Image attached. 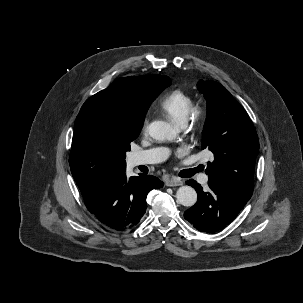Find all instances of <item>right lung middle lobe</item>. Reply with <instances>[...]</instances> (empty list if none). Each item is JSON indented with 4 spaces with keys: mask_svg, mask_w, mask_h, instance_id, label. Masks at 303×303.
<instances>
[{
    "mask_svg": "<svg viewBox=\"0 0 303 303\" xmlns=\"http://www.w3.org/2000/svg\"><path fill=\"white\" fill-rule=\"evenodd\" d=\"M163 90L164 88L158 94ZM94 120V140L125 161V153L130 151V143L138 137L140 131H131L114 115L97 113L94 115ZM71 173L78 188H81L90 178L88 172L78 168H71Z\"/></svg>",
    "mask_w": 303,
    "mask_h": 303,
    "instance_id": "obj_1",
    "label": "right lung middle lobe"
}]
</instances>
